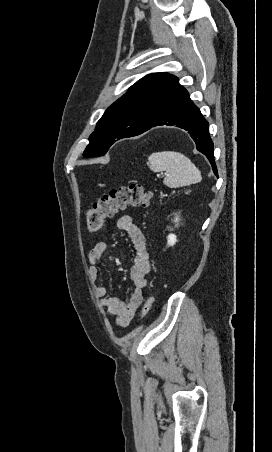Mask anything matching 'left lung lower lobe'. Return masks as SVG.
<instances>
[{
	"label": "left lung lower lobe",
	"mask_w": 272,
	"mask_h": 452,
	"mask_svg": "<svg viewBox=\"0 0 272 452\" xmlns=\"http://www.w3.org/2000/svg\"><path fill=\"white\" fill-rule=\"evenodd\" d=\"M159 125L176 126L186 130L196 143L197 150L206 155L214 174L218 176L209 124L182 86L167 102L155 122L145 131Z\"/></svg>",
	"instance_id": "left-lung-lower-lobe-1"
}]
</instances>
